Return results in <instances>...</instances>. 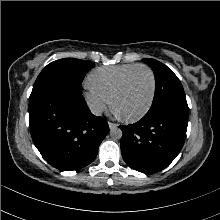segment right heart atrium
<instances>
[{
  "instance_id": "right-heart-atrium-1",
  "label": "right heart atrium",
  "mask_w": 220,
  "mask_h": 220,
  "mask_svg": "<svg viewBox=\"0 0 220 220\" xmlns=\"http://www.w3.org/2000/svg\"><path fill=\"white\" fill-rule=\"evenodd\" d=\"M83 98L90 111L95 115L102 114L110 106V99L92 89L90 86H87L83 92Z\"/></svg>"
}]
</instances>
